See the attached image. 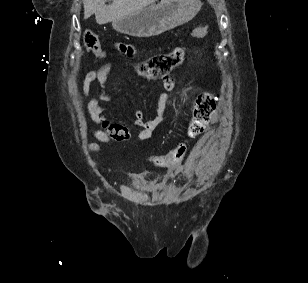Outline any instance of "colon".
<instances>
[{"instance_id":"5ec220e1","label":"colon","mask_w":308,"mask_h":283,"mask_svg":"<svg viewBox=\"0 0 308 283\" xmlns=\"http://www.w3.org/2000/svg\"><path fill=\"white\" fill-rule=\"evenodd\" d=\"M208 30V25H202L194 28L191 35L194 38L200 39L207 35ZM83 42L95 55L98 57L104 56L98 35L93 31L89 29L84 31ZM183 57V48L177 47L169 53L157 54L143 62L137 63L135 71L144 78L163 79L166 84L172 85L173 80L170 73L182 63ZM215 108V94L210 91L200 93L194 101L185 139L177 143L167 155L152 157L153 163L160 167L177 166L186 152L188 141L203 133Z\"/></svg>"}]
</instances>
